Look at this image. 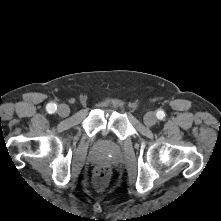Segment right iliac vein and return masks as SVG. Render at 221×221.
I'll return each instance as SVG.
<instances>
[{"mask_svg":"<svg viewBox=\"0 0 221 221\" xmlns=\"http://www.w3.org/2000/svg\"><path fill=\"white\" fill-rule=\"evenodd\" d=\"M57 112H58L60 117L64 118V117H67L69 115L70 109L67 105L61 104V105H59Z\"/></svg>","mask_w":221,"mask_h":221,"instance_id":"right-iliac-vein-1","label":"right iliac vein"}]
</instances>
